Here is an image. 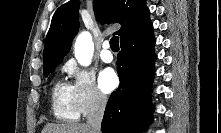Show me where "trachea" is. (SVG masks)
<instances>
[{
    "label": "trachea",
    "instance_id": "3493384b",
    "mask_svg": "<svg viewBox=\"0 0 221 133\" xmlns=\"http://www.w3.org/2000/svg\"><path fill=\"white\" fill-rule=\"evenodd\" d=\"M110 46L113 51H118L119 50V37L117 36L112 37L110 40Z\"/></svg>",
    "mask_w": 221,
    "mask_h": 133
}]
</instances>
